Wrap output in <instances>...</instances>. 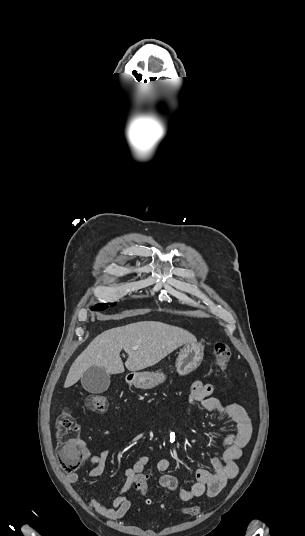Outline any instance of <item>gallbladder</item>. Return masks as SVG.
Masks as SVG:
<instances>
[{
	"label": "gallbladder",
	"mask_w": 305,
	"mask_h": 536,
	"mask_svg": "<svg viewBox=\"0 0 305 536\" xmlns=\"http://www.w3.org/2000/svg\"><path fill=\"white\" fill-rule=\"evenodd\" d=\"M81 384L84 390H87L90 394H103L110 386V376L105 368L91 366V368H87L83 372Z\"/></svg>",
	"instance_id": "obj_1"
}]
</instances>
